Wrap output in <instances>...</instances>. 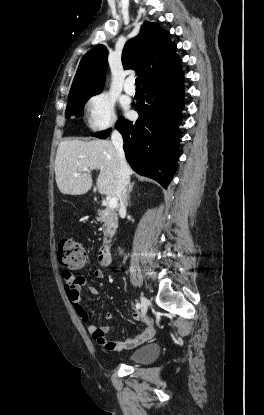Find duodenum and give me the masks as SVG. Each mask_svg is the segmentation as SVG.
<instances>
[{"label": "duodenum", "mask_w": 264, "mask_h": 415, "mask_svg": "<svg viewBox=\"0 0 264 415\" xmlns=\"http://www.w3.org/2000/svg\"><path fill=\"white\" fill-rule=\"evenodd\" d=\"M100 259L106 266H110L112 264V249L110 243L102 247L100 251Z\"/></svg>", "instance_id": "obj_1"}]
</instances>
